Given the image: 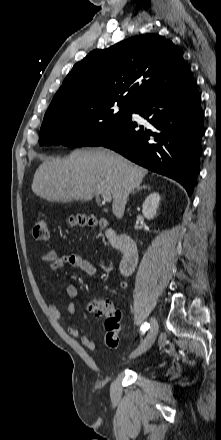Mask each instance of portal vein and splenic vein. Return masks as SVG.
Instances as JSON below:
<instances>
[{"mask_svg": "<svg viewBox=\"0 0 221 440\" xmlns=\"http://www.w3.org/2000/svg\"><path fill=\"white\" fill-rule=\"evenodd\" d=\"M101 196L103 197V200L106 202H110L112 199L111 194L109 192L102 193Z\"/></svg>", "mask_w": 221, "mask_h": 440, "instance_id": "portal-vein-and-splenic-vein-1", "label": "portal vein and splenic vein"}]
</instances>
